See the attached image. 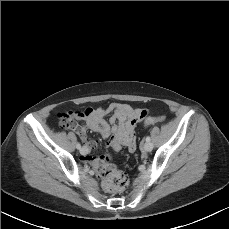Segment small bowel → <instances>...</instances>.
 Instances as JSON below:
<instances>
[{
  "label": "small bowel",
  "mask_w": 229,
  "mask_h": 229,
  "mask_svg": "<svg viewBox=\"0 0 229 229\" xmlns=\"http://www.w3.org/2000/svg\"><path fill=\"white\" fill-rule=\"evenodd\" d=\"M110 112L113 115L108 123L104 117ZM139 114L140 109L120 103H112L107 108H87L74 113L75 122L69 128L77 133L84 144L86 151L82 154L83 160L97 171L101 170L108 160L106 155L102 157L88 155L97 143L88 138L87 131L97 132L104 138H110V147L116 152L120 151L122 146H127L130 151H133L135 149L134 130L142 120ZM76 120L83 121V124H79Z\"/></svg>",
  "instance_id": "1"
}]
</instances>
